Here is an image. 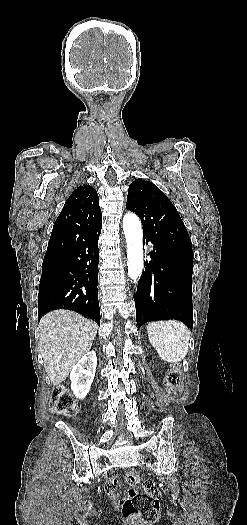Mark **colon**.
I'll return each instance as SVG.
<instances>
[{"label":"colon","mask_w":247,"mask_h":525,"mask_svg":"<svg viewBox=\"0 0 247 525\" xmlns=\"http://www.w3.org/2000/svg\"><path fill=\"white\" fill-rule=\"evenodd\" d=\"M181 379V365L171 364L166 375V386L174 392ZM51 409L60 415L73 416L77 406L73 397L63 384H57L51 395ZM125 481L129 485L137 486L130 490L122 500V514L125 518L137 519L146 524H154L160 515L159 502L161 492L158 484L153 480H142L139 473L129 471L125 474Z\"/></svg>","instance_id":"colon-1"}]
</instances>
